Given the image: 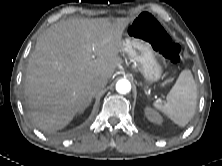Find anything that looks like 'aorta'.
Masks as SVG:
<instances>
[{
  "instance_id": "1",
  "label": "aorta",
  "mask_w": 222,
  "mask_h": 166,
  "mask_svg": "<svg viewBox=\"0 0 222 166\" xmlns=\"http://www.w3.org/2000/svg\"><path fill=\"white\" fill-rule=\"evenodd\" d=\"M116 90L120 94H127L131 90V84L126 79H121L116 83Z\"/></svg>"
}]
</instances>
